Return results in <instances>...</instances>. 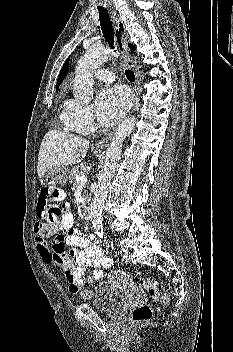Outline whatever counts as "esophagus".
Returning a JSON list of instances; mask_svg holds the SVG:
<instances>
[{"label":"esophagus","instance_id":"34e87169","mask_svg":"<svg viewBox=\"0 0 233 352\" xmlns=\"http://www.w3.org/2000/svg\"><path fill=\"white\" fill-rule=\"evenodd\" d=\"M112 18L114 22V30H115V40L116 43L122 53L123 61L125 65L134 71L136 78H137V88L135 89L137 95L141 91V79L138 67L131 59L129 54V49L126 43V30L123 21L116 15L115 12H112ZM137 99V98H136ZM135 110V107L132 108L130 114H132ZM113 132L109 133L104 139L100 140L95 144V147L105 149L108 147L111 139H112Z\"/></svg>","mask_w":233,"mask_h":352}]
</instances>
